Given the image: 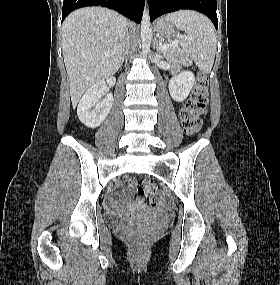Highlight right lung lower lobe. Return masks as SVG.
Returning a JSON list of instances; mask_svg holds the SVG:
<instances>
[{
    "mask_svg": "<svg viewBox=\"0 0 280 285\" xmlns=\"http://www.w3.org/2000/svg\"><path fill=\"white\" fill-rule=\"evenodd\" d=\"M85 6H103L114 9L136 23H140L144 0H64L62 21L73 10Z\"/></svg>",
    "mask_w": 280,
    "mask_h": 285,
    "instance_id": "obj_1",
    "label": "right lung lower lobe"
}]
</instances>
